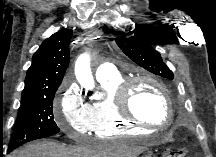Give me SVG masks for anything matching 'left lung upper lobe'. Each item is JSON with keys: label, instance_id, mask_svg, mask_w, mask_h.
I'll return each mask as SVG.
<instances>
[{"label": "left lung upper lobe", "instance_id": "obj_1", "mask_svg": "<svg viewBox=\"0 0 216 157\" xmlns=\"http://www.w3.org/2000/svg\"><path fill=\"white\" fill-rule=\"evenodd\" d=\"M115 42L139 66L169 80L174 79L173 72L163 62L160 53L151 46L154 41L149 35L134 34L130 37H117Z\"/></svg>", "mask_w": 216, "mask_h": 157}]
</instances>
